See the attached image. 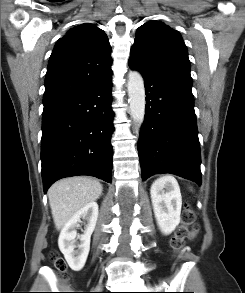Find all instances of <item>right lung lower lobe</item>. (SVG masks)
<instances>
[{
    "label": "right lung lower lobe",
    "mask_w": 245,
    "mask_h": 293,
    "mask_svg": "<svg viewBox=\"0 0 245 293\" xmlns=\"http://www.w3.org/2000/svg\"><path fill=\"white\" fill-rule=\"evenodd\" d=\"M111 76L44 106L41 160L45 193L55 181L71 176L90 175L111 182Z\"/></svg>",
    "instance_id": "1"
}]
</instances>
